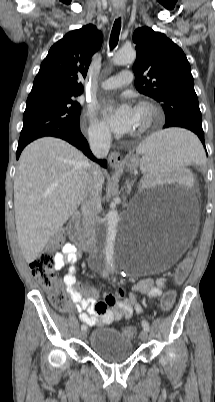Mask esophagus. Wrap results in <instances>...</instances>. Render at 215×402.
<instances>
[{
    "label": "esophagus",
    "mask_w": 215,
    "mask_h": 402,
    "mask_svg": "<svg viewBox=\"0 0 215 402\" xmlns=\"http://www.w3.org/2000/svg\"><path fill=\"white\" fill-rule=\"evenodd\" d=\"M115 14H116L117 17H120V16H122L124 14V11L118 9V10L115 11ZM108 160H109V164H110V166L112 168H117V167H120L122 165V156L117 151H112L109 154V159Z\"/></svg>",
    "instance_id": "34e87169"
}]
</instances>
